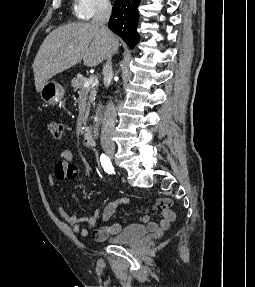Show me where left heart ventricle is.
<instances>
[{"mask_svg":"<svg viewBox=\"0 0 255 287\" xmlns=\"http://www.w3.org/2000/svg\"><path fill=\"white\" fill-rule=\"evenodd\" d=\"M93 33H101V32H93ZM91 39H102V38H91ZM88 48H100V47H88Z\"/></svg>","mask_w":255,"mask_h":287,"instance_id":"left-heart-ventricle-1","label":"left heart ventricle"}]
</instances>
